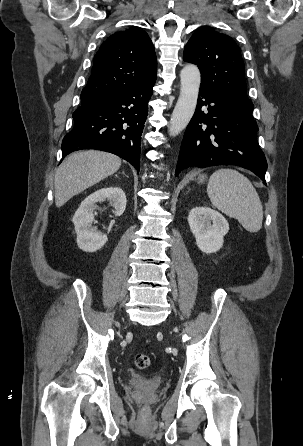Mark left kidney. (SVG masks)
I'll use <instances>...</instances> for the list:
<instances>
[{
  "instance_id": "1",
  "label": "left kidney",
  "mask_w": 303,
  "mask_h": 446,
  "mask_svg": "<svg viewBox=\"0 0 303 446\" xmlns=\"http://www.w3.org/2000/svg\"><path fill=\"white\" fill-rule=\"evenodd\" d=\"M188 224L203 253H215L222 248L223 238L229 231L222 214L206 206L195 207L189 213Z\"/></svg>"
}]
</instances>
